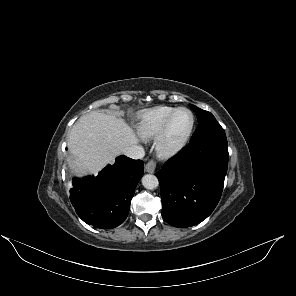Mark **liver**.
<instances>
[{
  "label": "liver",
  "instance_id": "6515ba94",
  "mask_svg": "<svg viewBox=\"0 0 296 296\" xmlns=\"http://www.w3.org/2000/svg\"><path fill=\"white\" fill-rule=\"evenodd\" d=\"M138 138L123 119L97 111L83 115L68 136L69 167L74 173L96 175Z\"/></svg>",
  "mask_w": 296,
  "mask_h": 296
}]
</instances>
